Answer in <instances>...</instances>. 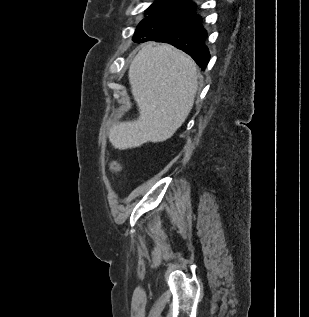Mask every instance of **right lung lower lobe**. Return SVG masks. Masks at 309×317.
<instances>
[{"label":"right lung lower lobe","instance_id":"98d812e1","mask_svg":"<svg viewBox=\"0 0 309 317\" xmlns=\"http://www.w3.org/2000/svg\"><path fill=\"white\" fill-rule=\"evenodd\" d=\"M196 5L190 0H178L146 17L135 31L133 41L165 42L189 54L205 70L210 54L205 40L207 32Z\"/></svg>","mask_w":309,"mask_h":317}]
</instances>
